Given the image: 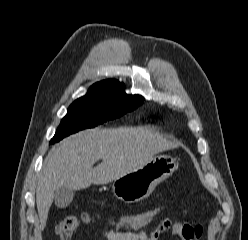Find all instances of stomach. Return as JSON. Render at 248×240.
Returning a JSON list of instances; mask_svg holds the SVG:
<instances>
[{
  "mask_svg": "<svg viewBox=\"0 0 248 240\" xmlns=\"http://www.w3.org/2000/svg\"><path fill=\"white\" fill-rule=\"evenodd\" d=\"M178 168L175 158L159 155L130 173L114 180L112 191L116 198L126 203H136L148 198L155 187Z\"/></svg>",
  "mask_w": 248,
  "mask_h": 240,
  "instance_id": "obj_1",
  "label": "stomach"
}]
</instances>
